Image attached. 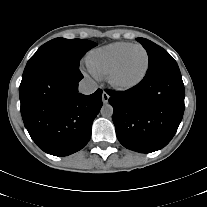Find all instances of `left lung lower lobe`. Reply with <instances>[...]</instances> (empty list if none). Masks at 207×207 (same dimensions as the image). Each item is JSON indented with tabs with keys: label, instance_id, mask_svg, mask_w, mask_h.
<instances>
[{
	"label": "left lung lower lobe",
	"instance_id": "1",
	"mask_svg": "<svg viewBox=\"0 0 207 207\" xmlns=\"http://www.w3.org/2000/svg\"><path fill=\"white\" fill-rule=\"evenodd\" d=\"M106 93L114 109L117 138L127 149L154 152L165 147L175 135L185 107L178 65L145 76L125 92Z\"/></svg>",
	"mask_w": 207,
	"mask_h": 207
}]
</instances>
